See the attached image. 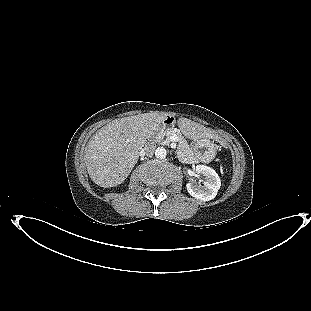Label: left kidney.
Segmentation results:
<instances>
[{
	"label": "left kidney",
	"instance_id": "1",
	"mask_svg": "<svg viewBox=\"0 0 311 311\" xmlns=\"http://www.w3.org/2000/svg\"><path fill=\"white\" fill-rule=\"evenodd\" d=\"M195 171L203 176V185L187 183L188 193L202 201L214 199L221 186V181L216 171L206 165H197Z\"/></svg>",
	"mask_w": 311,
	"mask_h": 311
}]
</instances>
